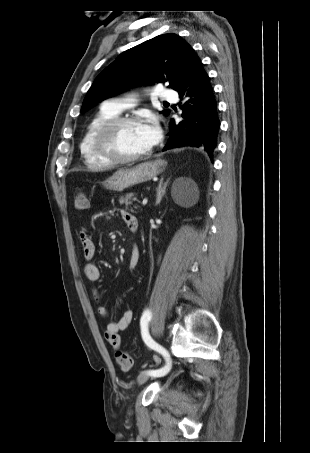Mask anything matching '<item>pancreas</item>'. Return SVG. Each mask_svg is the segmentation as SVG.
Returning <instances> with one entry per match:
<instances>
[{
  "instance_id": "pancreas-1",
  "label": "pancreas",
  "mask_w": 310,
  "mask_h": 453,
  "mask_svg": "<svg viewBox=\"0 0 310 453\" xmlns=\"http://www.w3.org/2000/svg\"><path fill=\"white\" fill-rule=\"evenodd\" d=\"M133 201H137V198L135 197L134 193H128L124 197H121L119 199L120 204H125V207L128 208L130 205H132ZM134 208H137L134 206Z\"/></svg>"
}]
</instances>
